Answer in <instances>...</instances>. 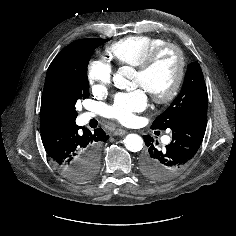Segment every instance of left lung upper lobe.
<instances>
[{
	"instance_id": "obj_1",
	"label": "left lung upper lobe",
	"mask_w": 236,
	"mask_h": 236,
	"mask_svg": "<svg viewBox=\"0 0 236 236\" xmlns=\"http://www.w3.org/2000/svg\"><path fill=\"white\" fill-rule=\"evenodd\" d=\"M208 95L200 65L193 62L188 65L184 83L179 95L172 104L153 122L152 129L165 130L188 112L207 108Z\"/></svg>"
}]
</instances>
